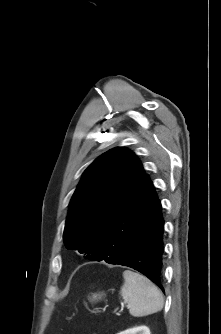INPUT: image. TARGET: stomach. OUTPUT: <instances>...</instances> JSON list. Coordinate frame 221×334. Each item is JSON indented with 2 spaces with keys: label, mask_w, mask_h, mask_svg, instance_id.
Returning a JSON list of instances; mask_svg holds the SVG:
<instances>
[{
  "label": "stomach",
  "mask_w": 221,
  "mask_h": 334,
  "mask_svg": "<svg viewBox=\"0 0 221 334\" xmlns=\"http://www.w3.org/2000/svg\"><path fill=\"white\" fill-rule=\"evenodd\" d=\"M104 294L103 293H94L90 300L93 301V302H96V301H99L103 298Z\"/></svg>",
  "instance_id": "1"
}]
</instances>
